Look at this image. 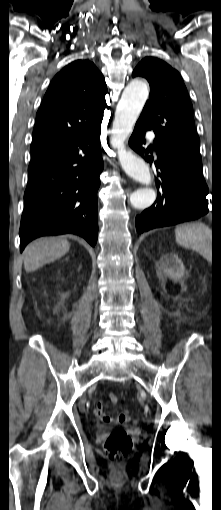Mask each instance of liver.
Masks as SVG:
<instances>
[{"label": "liver", "instance_id": "liver-1", "mask_svg": "<svg viewBox=\"0 0 221 510\" xmlns=\"http://www.w3.org/2000/svg\"><path fill=\"white\" fill-rule=\"evenodd\" d=\"M69 249V241L62 238H44L34 241L26 247L24 252L25 271H35L61 258Z\"/></svg>", "mask_w": 221, "mask_h": 510}]
</instances>
